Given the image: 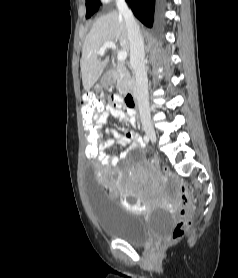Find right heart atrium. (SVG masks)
<instances>
[{
	"label": "right heart atrium",
	"mask_w": 238,
	"mask_h": 278,
	"mask_svg": "<svg viewBox=\"0 0 238 278\" xmlns=\"http://www.w3.org/2000/svg\"><path fill=\"white\" fill-rule=\"evenodd\" d=\"M102 2H110V1H112V0H101Z\"/></svg>",
	"instance_id": "right-heart-atrium-1"
}]
</instances>
